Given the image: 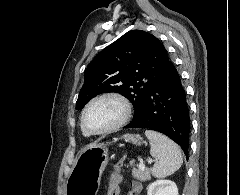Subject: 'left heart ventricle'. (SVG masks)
<instances>
[{
    "label": "left heart ventricle",
    "instance_id": "obj_1",
    "mask_svg": "<svg viewBox=\"0 0 240 195\" xmlns=\"http://www.w3.org/2000/svg\"><path fill=\"white\" fill-rule=\"evenodd\" d=\"M121 108L114 101L94 105L86 114L85 125L89 131H97L114 123L120 116Z\"/></svg>",
    "mask_w": 240,
    "mask_h": 195
}]
</instances>
